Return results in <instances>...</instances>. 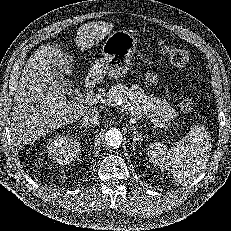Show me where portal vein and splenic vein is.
<instances>
[{
  "label": "portal vein and splenic vein",
  "instance_id": "1",
  "mask_svg": "<svg viewBox=\"0 0 231 231\" xmlns=\"http://www.w3.org/2000/svg\"><path fill=\"white\" fill-rule=\"evenodd\" d=\"M84 101H85V103L93 105V104H96L99 102V96L98 95H88L87 97H85ZM148 118L151 120V122L154 125H156L160 128H165V129L167 128V126L164 123H162L161 121H159L157 118H154V117H148Z\"/></svg>",
  "mask_w": 231,
  "mask_h": 231
}]
</instances>
